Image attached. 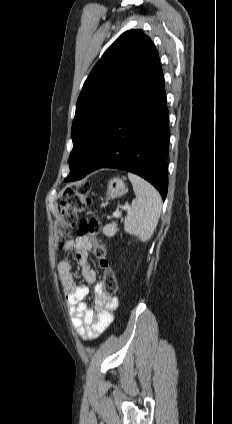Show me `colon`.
<instances>
[{
  "instance_id": "obj_1",
  "label": "colon",
  "mask_w": 232,
  "mask_h": 424,
  "mask_svg": "<svg viewBox=\"0 0 232 424\" xmlns=\"http://www.w3.org/2000/svg\"><path fill=\"white\" fill-rule=\"evenodd\" d=\"M90 184L84 183L78 188H67L62 196L60 221L58 224L59 245L62 246L65 239L72 233L77 225L79 214L91 205ZM100 225L95 217H86L80 220L77 230L78 237L88 236L93 254L98 260L99 268L103 271L102 287L107 296L114 295L118 289L115 272L110 266L107 250L101 243L98 234Z\"/></svg>"
}]
</instances>
